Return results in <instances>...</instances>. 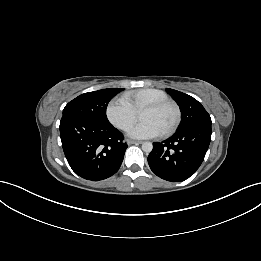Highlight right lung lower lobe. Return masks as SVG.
<instances>
[{
	"mask_svg": "<svg viewBox=\"0 0 261 261\" xmlns=\"http://www.w3.org/2000/svg\"><path fill=\"white\" fill-rule=\"evenodd\" d=\"M59 128L64 154L77 175L99 181L118 171L128 145L111 123L63 115Z\"/></svg>",
	"mask_w": 261,
	"mask_h": 261,
	"instance_id": "98d812e1",
	"label": "right lung lower lobe"
}]
</instances>
